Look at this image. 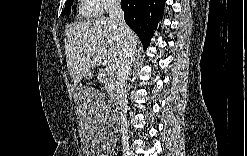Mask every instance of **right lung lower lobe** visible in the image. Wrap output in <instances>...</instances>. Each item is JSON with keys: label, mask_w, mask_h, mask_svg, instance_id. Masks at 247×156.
<instances>
[{"label": "right lung lower lobe", "mask_w": 247, "mask_h": 156, "mask_svg": "<svg viewBox=\"0 0 247 156\" xmlns=\"http://www.w3.org/2000/svg\"><path fill=\"white\" fill-rule=\"evenodd\" d=\"M164 4L165 0H121L125 21L144 48L150 44L153 30L163 17Z\"/></svg>", "instance_id": "obj_1"}]
</instances>
